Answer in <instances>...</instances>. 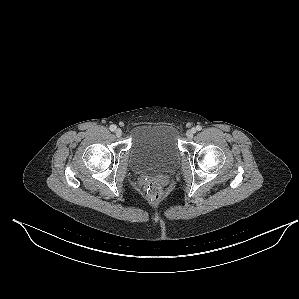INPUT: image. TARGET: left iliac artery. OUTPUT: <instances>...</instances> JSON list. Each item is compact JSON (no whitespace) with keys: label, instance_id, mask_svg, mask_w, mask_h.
Masks as SVG:
<instances>
[{"label":"left iliac artery","instance_id":"obj_1","mask_svg":"<svg viewBox=\"0 0 299 299\" xmlns=\"http://www.w3.org/2000/svg\"><path fill=\"white\" fill-rule=\"evenodd\" d=\"M196 130H197V131H200V130H202V127H201L200 125H197V126H196Z\"/></svg>","mask_w":299,"mask_h":299}]
</instances>
